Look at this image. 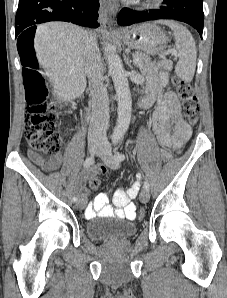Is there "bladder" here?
Here are the masks:
<instances>
[{"label": "bladder", "mask_w": 227, "mask_h": 298, "mask_svg": "<svg viewBox=\"0 0 227 298\" xmlns=\"http://www.w3.org/2000/svg\"><path fill=\"white\" fill-rule=\"evenodd\" d=\"M136 232V223L127 219H92L85 226L87 237L100 242L126 239L135 235Z\"/></svg>", "instance_id": "bladder-1"}]
</instances>
